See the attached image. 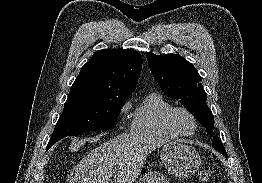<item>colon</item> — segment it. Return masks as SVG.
Returning a JSON list of instances; mask_svg holds the SVG:
<instances>
[{
	"instance_id": "colon-1",
	"label": "colon",
	"mask_w": 262,
	"mask_h": 183,
	"mask_svg": "<svg viewBox=\"0 0 262 183\" xmlns=\"http://www.w3.org/2000/svg\"><path fill=\"white\" fill-rule=\"evenodd\" d=\"M198 179L201 182H208L211 179V172L209 170H200L198 173Z\"/></svg>"
}]
</instances>
